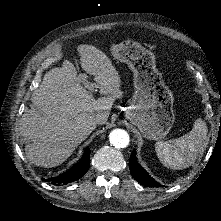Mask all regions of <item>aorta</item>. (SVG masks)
Listing matches in <instances>:
<instances>
[{
	"mask_svg": "<svg viewBox=\"0 0 221 221\" xmlns=\"http://www.w3.org/2000/svg\"><path fill=\"white\" fill-rule=\"evenodd\" d=\"M109 140L116 148H125L128 146L130 138L125 130L115 129L109 134Z\"/></svg>",
	"mask_w": 221,
	"mask_h": 221,
	"instance_id": "aorta-1",
	"label": "aorta"
}]
</instances>
